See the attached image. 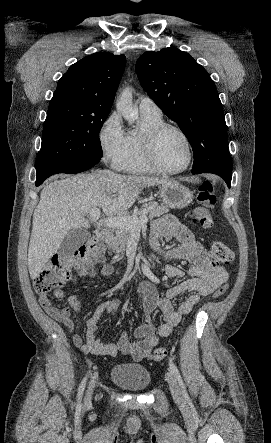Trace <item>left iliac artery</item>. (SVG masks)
I'll return each instance as SVG.
<instances>
[{"label": "left iliac artery", "instance_id": "left-iliac-artery-1", "mask_svg": "<svg viewBox=\"0 0 271 443\" xmlns=\"http://www.w3.org/2000/svg\"><path fill=\"white\" fill-rule=\"evenodd\" d=\"M169 369L175 375V377L177 378V380L179 382V385L181 387L183 396L187 397L186 387H185V384H184V382L182 380V377H181V375L179 373L178 368L176 367V365L173 362H169Z\"/></svg>", "mask_w": 271, "mask_h": 443}]
</instances>
